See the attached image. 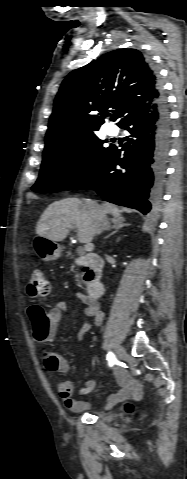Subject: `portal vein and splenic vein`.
Returning <instances> with one entry per match:
<instances>
[{
  "mask_svg": "<svg viewBox=\"0 0 187 479\" xmlns=\"http://www.w3.org/2000/svg\"><path fill=\"white\" fill-rule=\"evenodd\" d=\"M85 250H86V251H92V250H93V244L87 243V244L85 245Z\"/></svg>",
  "mask_w": 187,
  "mask_h": 479,
  "instance_id": "obj_1",
  "label": "portal vein and splenic vein"
}]
</instances>
